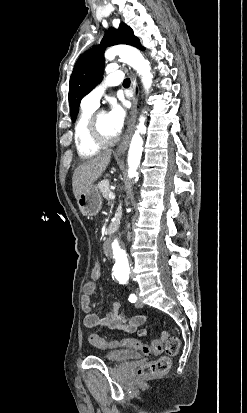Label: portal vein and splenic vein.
<instances>
[{"instance_id": "1", "label": "portal vein and splenic vein", "mask_w": 247, "mask_h": 413, "mask_svg": "<svg viewBox=\"0 0 247 413\" xmlns=\"http://www.w3.org/2000/svg\"><path fill=\"white\" fill-rule=\"evenodd\" d=\"M108 196H109V198H115L114 192H109Z\"/></svg>"}]
</instances>
